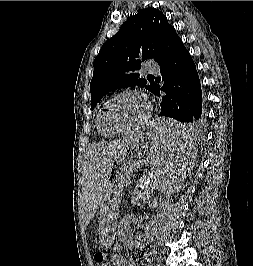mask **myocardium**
Returning a JSON list of instances; mask_svg holds the SVG:
<instances>
[{
  "mask_svg": "<svg viewBox=\"0 0 253 266\" xmlns=\"http://www.w3.org/2000/svg\"><path fill=\"white\" fill-rule=\"evenodd\" d=\"M124 95H136V96L143 98L147 104V112L139 122H137L136 124H134L133 126L127 128V129L119 130V131H108L105 129L103 122H102L104 110L114 100H116L117 98L124 96ZM152 111H153L152 103L144 92H142L140 90H136V89H125V90L118 92L114 96H112L107 102H105L103 104V106L100 108V110L98 112L97 126H98V129L101 132V134L104 136L113 137V136L128 134V133H131V132L141 128L144 124H146L147 121L149 120V118L151 117Z\"/></svg>",
  "mask_w": 253,
  "mask_h": 266,
  "instance_id": "obj_1",
  "label": "myocardium"
}]
</instances>
